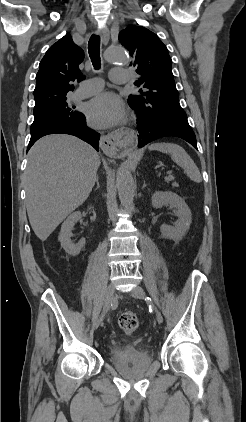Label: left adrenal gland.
I'll return each instance as SVG.
<instances>
[{
	"instance_id": "a2214340",
	"label": "left adrenal gland",
	"mask_w": 246,
	"mask_h": 422,
	"mask_svg": "<svg viewBox=\"0 0 246 422\" xmlns=\"http://www.w3.org/2000/svg\"><path fill=\"white\" fill-rule=\"evenodd\" d=\"M146 186H147V184L144 181L143 186H142V189H144Z\"/></svg>"
}]
</instances>
